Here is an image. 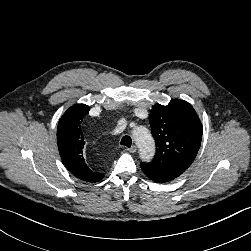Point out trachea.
<instances>
[{
    "label": "trachea",
    "mask_w": 251,
    "mask_h": 251,
    "mask_svg": "<svg viewBox=\"0 0 251 251\" xmlns=\"http://www.w3.org/2000/svg\"><path fill=\"white\" fill-rule=\"evenodd\" d=\"M131 144H132V139L130 136H124L121 139V145H124L126 147H131Z\"/></svg>",
    "instance_id": "trachea-1"
}]
</instances>
